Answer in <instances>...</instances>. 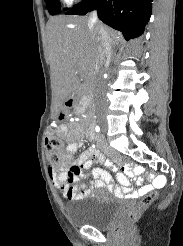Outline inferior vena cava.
Masks as SVG:
<instances>
[{
    "label": "inferior vena cava",
    "mask_w": 183,
    "mask_h": 246,
    "mask_svg": "<svg viewBox=\"0 0 183 246\" xmlns=\"http://www.w3.org/2000/svg\"><path fill=\"white\" fill-rule=\"evenodd\" d=\"M89 24L96 32L99 40V55L97 58L95 70L97 73L96 78V106L98 110H103L107 106L106 93H105V82L103 80V72L108 67L112 49H111V38L105 29V27L98 21L97 11H93L89 15Z\"/></svg>",
    "instance_id": "obj_1"
}]
</instances>
